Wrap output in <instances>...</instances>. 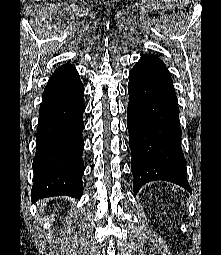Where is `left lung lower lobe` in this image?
I'll list each match as a JSON object with an SVG mask.
<instances>
[{
    "label": "left lung lower lobe",
    "instance_id": "obj_1",
    "mask_svg": "<svg viewBox=\"0 0 221 255\" xmlns=\"http://www.w3.org/2000/svg\"><path fill=\"white\" fill-rule=\"evenodd\" d=\"M129 147L134 193L164 180L191 192L181 148L179 108L171 76L153 54H144L129 74Z\"/></svg>",
    "mask_w": 221,
    "mask_h": 255
}]
</instances>
